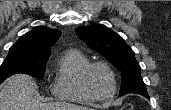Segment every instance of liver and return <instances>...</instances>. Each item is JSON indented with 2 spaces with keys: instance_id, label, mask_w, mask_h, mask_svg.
<instances>
[{
  "instance_id": "liver-1",
  "label": "liver",
  "mask_w": 171,
  "mask_h": 110,
  "mask_svg": "<svg viewBox=\"0 0 171 110\" xmlns=\"http://www.w3.org/2000/svg\"><path fill=\"white\" fill-rule=\"evenodd\" d=\"M37 85L26 74L8 78L0 92V110H88L65 102L43 103L34 98Z\"/></svg>"
}]
</instances>
